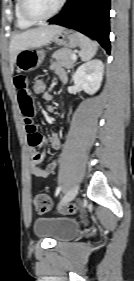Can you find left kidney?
I'll list each match as a JSON object with an SVG mask.
<instances>
[{
    "mask_svg": "<svg viewBox=\"0 0 134 281\" xmlns=\"http://www.w3.org/2000/svg\"><path fill=\"white\" fill-rule=\"evenodd\" d=\"M104 65L101 60H92L78 67L73 75L75 85L87 94L96 93L103 79Z\"/></svg>",
    "mask_w": 134,
    "mask_h": 281,
    "instance_id": "obj_1",
    "label": "left kidney"
}]
</instances>
